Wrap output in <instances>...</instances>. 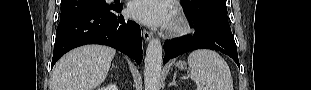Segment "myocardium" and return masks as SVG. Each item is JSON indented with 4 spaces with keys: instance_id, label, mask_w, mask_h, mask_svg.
I'll use <instances>...</instances> for the list:
<instances>
[{
    "instance_id": "obj_1",
    "label": "myocardium",
    "mask_w": 311,
    "mask_h": 90,
    "mask_svg": "<svg viewBox=\"0 0 311 90\" xmlns=\"http://www.w3.org/2000/svg\"><path fill=\"white\" fill-rule=\"evenodd\" d=\"M189 32H190V25L188 21L183 15L177 14L171 25L170 34L175 36H182L186 35Z\"/></svg>"
}]
</instances>
